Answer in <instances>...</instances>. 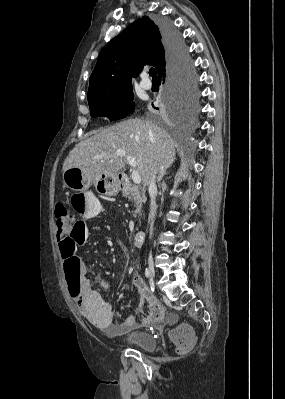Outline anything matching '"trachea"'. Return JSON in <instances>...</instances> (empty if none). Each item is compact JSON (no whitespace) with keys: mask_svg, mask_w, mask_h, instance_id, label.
Listing matches in <instances>:
<instances>
[{"mask_svg":"<svg viewBox=\"0 0 285 399\" xmlns=\"http://www.w3.org/2000/svg\"><path fill=\"white\" fill-rule=\"evenodd\" d=\"M149 75L152 77V80H158L157 73L154 68L149 70Z\"/></svg>","mask_w":285,"mask_h":399,"instance_id":"3493384b","label":"trachea"}]
</instances>
